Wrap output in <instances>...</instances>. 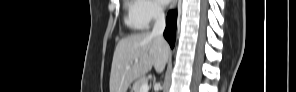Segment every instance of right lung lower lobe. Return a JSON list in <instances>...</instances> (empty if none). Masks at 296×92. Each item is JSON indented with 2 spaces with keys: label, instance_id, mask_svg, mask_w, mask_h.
<instances>
[{
  "label": "right lung lower lobe",
  "instance_id": "98d812e1",
  "mask_svg": "<svg viewBox=\"0 0 296 92\" xmlns=\"http://www.w3.org/2000/svg\"><path fill=\"white\" fill-rule=\"evenodd\" d=\"M176 12L170 11L166 19V29L164 31V37L173 48L175 43V30H176Z\"/></svg>",
  "mask_w": 296,
  "mask_h": 92
}]
</instances>
